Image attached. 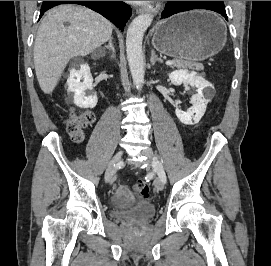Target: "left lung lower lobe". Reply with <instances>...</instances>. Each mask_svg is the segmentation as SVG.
I'll return each mask as SVG.
<instances>
[{
    "mask_svg": "<svg viewBox=\"0 0 271 266\" xmlns=\"http://www.w3.org/2000/svg\"><path fill=\"white\" fill-rule=\"evenodd\" d=\"M192 9L212 10L221 14L226 20H228L225 6H220L208 1H169L166 4V7L162 12L161 17L165 19L176 13L189 11Z\"/></svg>",
    "mask_w": 271,
    "mask_h": 266,
    "instance_id": "1",
    "label": "left lung lower lobe"
}]
</instances>
